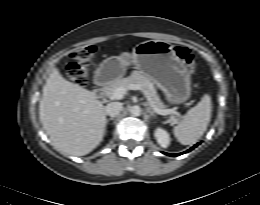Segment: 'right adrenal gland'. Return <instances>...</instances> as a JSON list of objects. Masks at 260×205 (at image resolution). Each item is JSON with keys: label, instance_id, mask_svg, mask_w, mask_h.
I'll return each instance as SVG.
<instances>
[{"label": "right adrenal gland", "instance_id": "obj_1", "mask_svg": "<svg viewBox=\"0 0 260 205\" xmlns=\"http://www.w3.org/2000/svg\"><path fill=\"white\" fill-rule=\"evenodd\" d=\"M110 120H114V117H111V118H109V119H106V121H105V125H106V126H107V124H108V122H109Z\"/></svg>", "mask_w": 260, "mask_h": 205}]
</instances>
